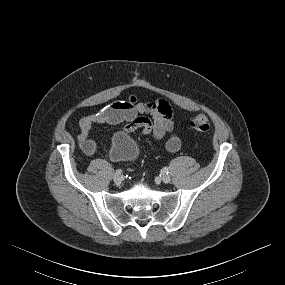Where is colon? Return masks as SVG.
Here are the masks:
<instances>
[{
    "instance_id": "obj_1",
    "label": "colon",
    "mask_w": 285,
    "mask_h": 285,
    "mask_svg": "<svg viewBox=\"0 0 285 285\" xmlns=\"http://www.w3.org/2000/svg\"><path fill=\"white\" fill-rule=\"evenodd\" d=\"M190 126L197 132H206L209 129V120L204 114H197L190 120Z\"/></svg>"
}]
</instances>
